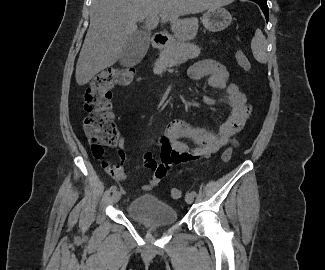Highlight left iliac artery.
<instances>
[{"label":"left iliac artery","instance_id":"44dca946","mask_svg":"<svg viewBox=\"0 0 325 270\" xmlns=\"http://www.w3.org/2000/svg\"><path fill=\"white\" fill-rule=\"evenodd\" d=\"M191 194L195 197L197 195L196 191H191Z\"/></svg>","mask_w":325,"mask_h":270}]
</instances>
